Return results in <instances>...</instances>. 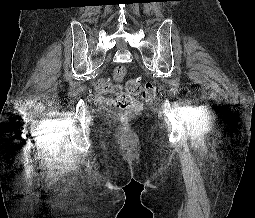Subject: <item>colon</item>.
Here are the masks:
<instances>
[{"mask_svg": "<svg viewBox=\"0 0 255 218\" xmlns=\"http://www.w3.org/2000/svg\"><path fill=\"white\" fill-rule=\"evenodd\" d=\"M126 73L124 66H118L114 71L116 80H120ZM98 90L101 93H113L115 95V105L118 109L126 113H134L139 110V104L135 96L141 94L145 101H153L156 98V89L151 82L142 83L139 78L129 79L125 83L124 89L109 80H101L98 83Z\"/></svg>", "mask_w": 255, "mask_h": 218, "instance_id": "1", "label": "colon"}]
</instances>
